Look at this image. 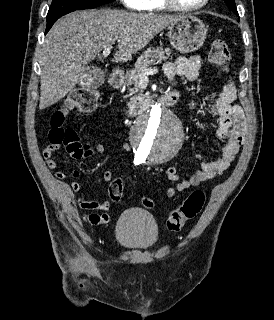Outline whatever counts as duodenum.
<instances>
[{"instance_id": "duodenum-1", "label": "duodenum", "mask_w": 274, "mask_h": 320, "mask_svg": "<svg viewBox=\"0 0 274 320\" xmlns=\"http://www.w3.org/2000/svg\"><path fill=\"white\" fill-rule=\"evenodd\" d=\"M122 80H123V73L121 71H113L109 75V83L113 89L118 88ZM178 99H179V95L177 92L169 93L158 99L142 98L135 103L133 109L130 111L128 115L130 117H135L139 113L150 109L155 104H160L162 106H171L173 104H176L178 102Z\"/></svg>"}]
</instances>
